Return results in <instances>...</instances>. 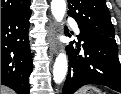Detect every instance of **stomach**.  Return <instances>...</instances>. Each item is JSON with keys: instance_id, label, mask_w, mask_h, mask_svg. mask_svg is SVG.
<instances>
[{"instance_id": "1", "label": "stomach", "mask_w": 121, "mask_h": 94, "mask_svg": "<svg viewBox=\"0 0 121 94\" xmlns=\"http://www.w3.org/2000/svg\"><path fill=\"white\" fill-rule=\"evenodd\" d=\"M78 94H102V92L95 87L87 86V87L82 88L78 92Z\"/></svg>"}]
</instances>
